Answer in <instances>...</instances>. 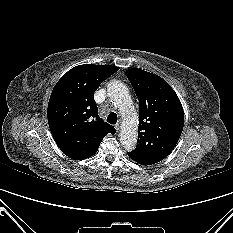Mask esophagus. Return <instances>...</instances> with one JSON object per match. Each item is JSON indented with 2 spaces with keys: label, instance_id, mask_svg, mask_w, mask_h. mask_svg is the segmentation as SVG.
I'll return each mask as SVG.
<instances>
[{
  "label": "esophagus",
  "instance_id": "34e87169",
  "mask_svg": "<svg viewBox=\"0 0 233 233\" xmlns=\"http://www.w3.org/2000/svg\"><path fill=\"white\" fill-rule=\"evenodd\" d=\"M120 127H121V124H120V123H117V124L115 125V129H116L117 132L120 130Z\"/></svg>",
  "mask_w": 233,
  "mask_h": 233
}]
</instances>
